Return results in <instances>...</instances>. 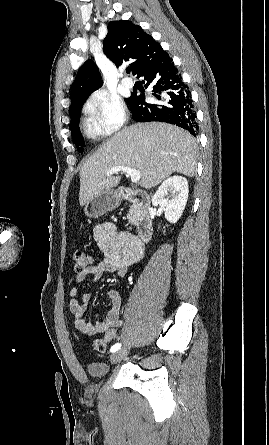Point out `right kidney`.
<instances>
[{
    "label": "right kidney",
    "mask_w": 269,
    "mask_h": 445,
    "mask_svg": "<svg viewBox=\"0 0 269 445\" xmlns=\"http://www.w3.org/2000/svg\"><path fill=\"white\" fill-rule=\"evenodd\" d=\"M172 193L171 199L167 198ZM188 182L182 176H172L166 179L152 198L154 206L164 208L165 218L170 223H176L181 217L188 200Z\"/></svg>",
    "instance_id": "obj_1"
}]
</instances>
